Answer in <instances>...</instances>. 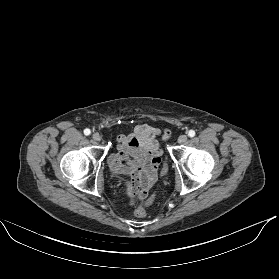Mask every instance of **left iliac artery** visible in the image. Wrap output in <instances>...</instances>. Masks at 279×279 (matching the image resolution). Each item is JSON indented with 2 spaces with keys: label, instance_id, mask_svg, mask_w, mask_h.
<instances>
[{
  "label": "left iliac artery",
  "instance_id": "1",
  "mask_svg": "<svg viewBox=\"0 0 279 279\" xmlns=\"http://www.w3.org/2000/svg\"><path fill=\"white\" fill-rule=\"evenodd\" d=\"M188 136H189V137H194V136H195V131H194V130H190V131L188 132Z\"/></svg>",
  "mask_w": 279,
  "mask_h": 279
}]
</instances>
